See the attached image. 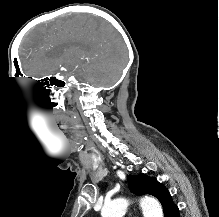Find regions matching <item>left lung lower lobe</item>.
I'll use <instances>...</instances> for the list:
<instances>
[{
  "label": "left lung lower lobe",
  "mask_w": 219,
  "mask_h": 217,
  "mask_svg": "<svg viewBox=\"0 0 219 217\" xmlns=\"http://www.w3.org/2000/svg\"><path fill=\"white\" fill-rule=\"evenodd\" d=\"M164 217H180L179 208L174 203L171 204L164 213Z\"/></svg>",
  "instance_id": "0a47b994"
}]
</instances>
